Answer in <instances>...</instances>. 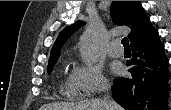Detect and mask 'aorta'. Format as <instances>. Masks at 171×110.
<instances>
[{
    "instance_id": "aorta-1",
    "label": "aorta",
    "mask_w": 171,
    "mask_h": 110,
    "mask_svg": "<svg viewBox=\"0 0 171 110\" xmlns=\"http://www.w3.org/2000/svg\"><path fill=\"white\" fill-rule=\"evenodd\" d=\"M80 53L86 64H93L98 58V36L93 32L85 33L80 40Z\"/></svg>"
}]
</instances>
